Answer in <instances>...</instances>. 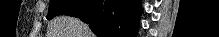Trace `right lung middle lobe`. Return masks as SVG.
I'll return each mask as SVG.
<instances>
[{
  "mask_svg": "<svg viewBox=\"0 0 219 37\" xmlns=\"http://www.w3.org/2000/svg\"><path fill=\"white\" fill-rule=\"evenodd\" d=\"M81 1L82 0H50V6L46 18L51 20L58 15H63L70 8L78 5Z\"/></svg>",
  "mask_w": 219,
  "mask_h": 37,
  "instance_id": "obj_1",
  "label": "right lung middle lobe"
}]
</instances>
